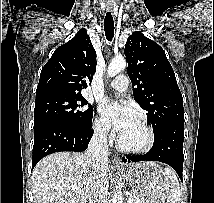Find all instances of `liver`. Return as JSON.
Masks as SVG:
<instances>
[{"label": "liver", "instance_id": "6515ba94", "mask_svg": "<svg viewBox=\"0 0 214 203\" xmlns=\"http://www.w3.org/2000/svg\"><path fill=\"white\" fill-rule=\"evenodd\" d=\"M91 167L85 154L57 152L46 156L32 173L34 203H89L93 195ZM107 184L110 167H106Z\"/></svg>", "mask_w": 214, "mask_h": 203}]
</instances>
